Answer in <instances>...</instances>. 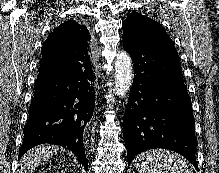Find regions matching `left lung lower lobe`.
Returning <instances> with one entry per match:
<instances>
[{
	"label": "left lung lower lobe",
	"mask_w": 219,
	"mask_h": 173,
	"mask_svg": "<svg viewBox=\"0 0 219 173\" xmlns=\"http://www.w3.org/2000/svg\"><path fill=\"white\" fill-rule=\"evenodd\" d=\"M123 47L136 74L123 118L128 165L145 150L164 148L198 169L192 104L176 49L128 42Z\"/></svg>",
	"instance_id": "left-lung-lower-lobe-1"
}]
</instances>
